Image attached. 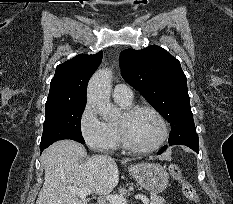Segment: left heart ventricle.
<instances>
[{
    "label": "left heart ventricle",
    "instance_id": "b2bd125f",
    "mask_svg": "<svg viewBox=\"0 0 233 204\" xmlns=\"http://www.w3.org/2000/svg\"><path fill=\"white\" fill-rule=\"evenodd\" d=\"M124 117H120L118 124H123ZM131 141L139 147L155 145L162 135L158 119L148 111H140L126 123Z\"/></svg>",
    "mask_w": 233,
    "mask_h": 204
}]
</instances>
